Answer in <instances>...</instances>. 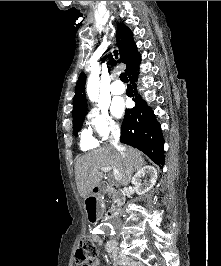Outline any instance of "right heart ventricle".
Returning a JSON list of instances; mask_svg holds the SVG:
<instances>
[{
	"label": "right heart ventricle",
	"mask_w": 221,
	"mask_h": 266,
	"mask_svg": "<svg viewBox=\"0 0 221 266\" xmlns=\"http://www.w3.org/2000/svg\"><path fill=\"white\" fill-rule=\"evenodd\" d=\"M98 145L97 140L88 131L81 133V147L83 150L93 149Z\"/></svg>",
	"instance_id": "right-heart-ventricle-1"
}]
</instances>
